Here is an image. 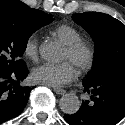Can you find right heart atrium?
<instances>
[{"mask_svg":"<svg viewBox=\"0 0 125 125\" xmlns=\"http://www.w3.org/2000/svg\"><path fill=\"white\" fill-rule=\"evenodd\" d=\"M39 37L36 34H31L27 37L23 46L24 55L30 60H36L38 56Z\"/></svg>","mask_w":125,"mask_h":125,"instance_id":"right-heart-atrium-1","label":"right heart atrium"}]
</instances>
